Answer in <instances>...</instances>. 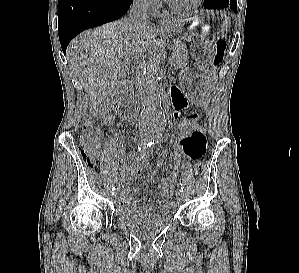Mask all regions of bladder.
Masks as SVG:
<instances>
[{
  "mask_svg": "<svg viewBox=\"0 0 299 273\" xmlns=\"http://www.w3.org/2000/svg\"><path fill=\"white\" fill-rule=\"evenodd\" d=\"M115 217L117 222L127 229L136 233L146 234L161 230L168 226L173 221L174 214L172 210L165 214L157 212L150 217L140 218L116 210Z\"/></svg>",
  "mask_w": 299,
  "mask_h": 273,
  "instance_id": "31cf9c89",
  "label": "bladder"
}]
</instances>
